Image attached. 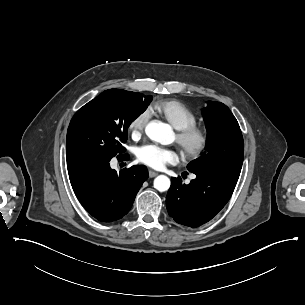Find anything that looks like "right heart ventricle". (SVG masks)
I'll return each instance as SVG.
<instances>
[{
  "label": "right heart ventricle",
  "instance_id": "right-heart-ventricle-1",
  "mask_svg": "<svg viewBox=\"0 0 305 305\" xmlns=\"http://www.w3.org/2000/svg\"><path fill=\"white\" fill-rule=\"evenodd\" d=\"M150 110L152 113L166 118L177 130L194 126L198 123L196 114L177 100L156 101L151 105Z\"/></svg>",
  "mask_w": 305,
  "mask_h": 305
}]
</instances>
